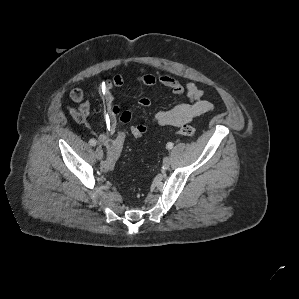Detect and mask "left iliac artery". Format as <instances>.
I'll list each match as a JSON object with an SVG mask.
<instances>
[{
    "label": "left iliac artery",
    "mask_w": 299,
    "mask_h": 299,
    "mask_svg": "<svg viewBox=\"0 0 299 299\" xmlns=\"http://www.w3.org/2000/svg\"><path fill=\"white\" fill-rule=\"evenodd\" d=\"M166 148L167 149H172L173 148V143L172 142L167 143Z\"/></svg>",
    "instance_id": "44dca946"
}]
</instances>
